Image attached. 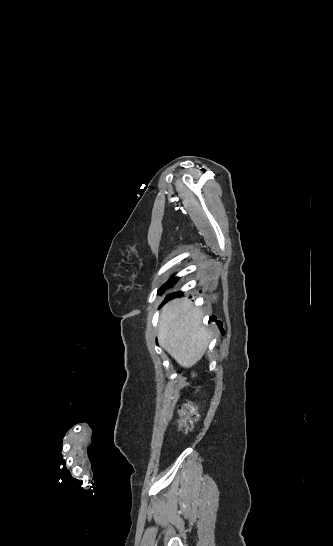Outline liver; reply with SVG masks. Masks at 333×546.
Instances as JSON below:
<instances>
[{
	"label": "liver",
	"instance_id": "6515ba94",
	"mask_svg": "<svg viewBox=\"0 0 333 546\" xmlns=\"http://www.w3.org/2000/svg\"><path fill=\"white\" fill-rule=\"evenodd\" d=\"M201 321L202 311L187 298L175 299L162 308L159 344L182 367L195 365L207 349L211 333Z\"/></svg>",
	"mask_w": 333,
	"mask_h": 546
}]
</instances>
